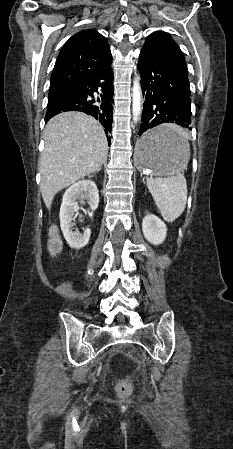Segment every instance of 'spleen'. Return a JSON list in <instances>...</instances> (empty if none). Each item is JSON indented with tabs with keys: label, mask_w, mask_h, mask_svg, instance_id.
<instances>
[{
	"label": "spleen",
	"mask_w": 233,
	"mask_h": 449,
	"mask_svg": "<svg viewBox=\"0 0 233 449\" xmlns=\"http://www.w3.org/2000/svg\"><path fill=\"white\" fill-rule=\"evenodd\" d=\"M171 127L182 133L176 127ZM182 136L184 137L183 133ZM147 187L163 219L167 222H173L185 210L187 187L185 178L180 171H177L174 176L164 178L149 177L147 178Z\"/></svg>",
	"instance_id": "3e777b00"
}]
</instances>
